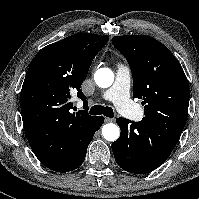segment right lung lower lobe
Returning a JSON list of instances; mask_svg holds the SVG:
<instances>
[{
	"instance_id": "right-lung-lower-lobe-1",
	"label": "right lung lower lobe",
	"mask_w": 199,
	"mask_h": 199,
	"mask_svg": "<svg viewBox=\"0 0 199 199\" xmlns=\"http://www.w3.org/2000/svg\"><path fill=\"white\" fill-rule=\"evenodd\" d=\"M104 117H95L88 125L76 131L61 148L59 156L48 154L50 140L38 129L25 130L28 142L37 158L47 168L56 172H68L78 168L84 161L87 147L94 133L100 129Z\"/></svg>"
}]
</instances>
